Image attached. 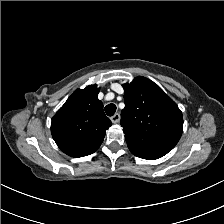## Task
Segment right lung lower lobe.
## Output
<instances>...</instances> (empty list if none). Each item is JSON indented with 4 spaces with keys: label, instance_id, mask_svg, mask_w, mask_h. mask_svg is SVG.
Returning <instances> with one entry per match:
<instances>
[{
    "label": "right lung lower lobe",
    "instance_id": "1",
    "mask_svg": "<svg viewBox=\"0 0 224 224\" xmlns=\"http://www.w3.org/2000/svg\"><path fill=\"white\" fill-rule=\"evenodd\" d=\"M58 147L67 155H70L72 157H82L80 156L77 147L69 142H58L57 143Z\"/></svg>",
    "mask_w": 224,
    "mask_h": 224
}]
</instances>
